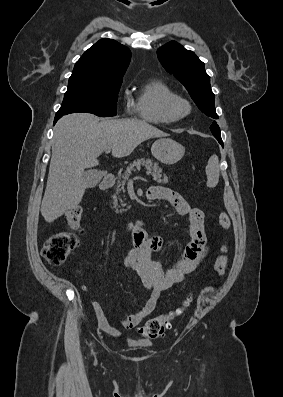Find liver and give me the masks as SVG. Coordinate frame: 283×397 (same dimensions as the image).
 I'll list each match as a JSON object with an SVG mask.
<instances>
[{"instance_id":"1","label":"liver","mask_w":283,"mask_h":397,"mask_svg":"<svg viewBox=\"0 0 283 397\" xmlns=\"http://www.w3.org/2000/svg\"><path fill=\"white\" fill-rule=\"evenodd\" d=\"M167 134L143 120L100 119L90 113L62 117L54 128L52 156L41 214L48 223L81 202L87 180L86 168L99 164L98 157L110 147L112 156L130 155L142 142Z\"/></svg>"}]
</instances>
